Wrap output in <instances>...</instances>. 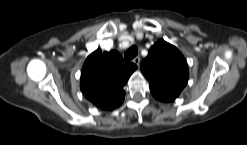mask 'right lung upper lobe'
I'll return each instance as SVG.
<instances>
[{
    "label": "right lung upper lobe",
    "instance_id": "right-lung-upper-lobe-1",
    "mask_svg": "<svg viewBox=\"0 0 247 145\" xmlns=\"http://www.w3.org/2000/svg\"><path fill=\"white\" fill-rule=\"evenodd\" d=\"M136 68L134 63L125 62L116 50L102 54L97 49L83 65L81 91L99 108L112 110L123 102V86Z\"/></svg>",
    "mask_w": 247,
    "mask_h": 145
}]
</instances>
